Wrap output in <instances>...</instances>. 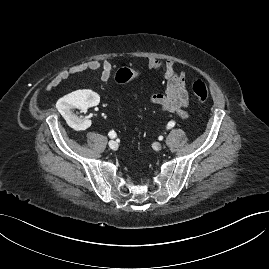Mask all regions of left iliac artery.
<instances>
[{"instance_id": "1", "label": "left iliac artery", "mask_w": 269, "mask_h": 269, "mask_svg": "<svg viewBox=\"0 0 269 269\" xmlns=\"http://www.w3.org/2000/svg\"><path fill=\"white\" fill-rule=\"evenodd\" d=\"M175 126V122L174 121H170L168 124H167V129H170L172 127Z\"/></svg>"}]
</instances>
